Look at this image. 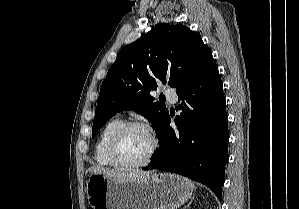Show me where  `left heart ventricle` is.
Here are the masks:
<instances>
[{
  "label": "left heart ventricle",
  "instance_id": "b2bd125f",
  "mask_svg": "<svg viewBox=\"0 0 299 209\" xmlns=\"http://www.w3.org/2000/svg\"><path fill=\"white\" fill-rule=\"evenodd\" d=\"M150 148L148 135L140 129H130L119 139L117 159L126 164L136 163L145 158Z\"/></svg>",
  "mask_w": 299,
  "mask_h": 209
}]
</instances>
